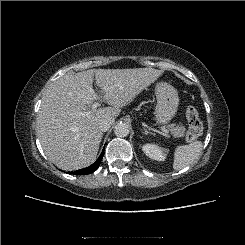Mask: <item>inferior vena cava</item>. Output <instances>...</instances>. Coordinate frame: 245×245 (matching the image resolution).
Returning a JSON list of instances; mask_svg holds the SVG:
<instances>
[{
    "label": "inferior vena cava",
    "instance_id": "602c4592",
    "mask_svg": "<svg viewBox=\"0 0 245 245\" xmlns=\"http://www.w3.org/2000/svg\"><path fill=\"white\" fill-rule=\"evenodd\" d=\"M113 123H114V119L113 118L102 119L99 122V128H100L101 131L106 132L107 130H109V128L112 126Z\"/></svg>",
    "mask_w": 245,
    "mask_h": 245
}]
</instances>
